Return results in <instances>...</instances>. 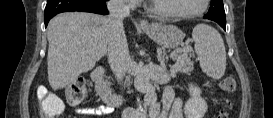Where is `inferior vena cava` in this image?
Returning a JSON list of instances; mask_svg holds the SVG:
<instances>
[{
  "label": "inferior vena cava",
  "instance_id": "inferior-vena-cava-1",
  "mask_svg": "<svg viewBox=\"0 0 273 118\" xmlns=\"http://www.w3.org/2000/svg\"><path fill=\"white\" fill-rule=\"evenodd\" d=\"M108 22L110 35L108 40V62L118 83L123 82L127 66L130 63L127 39L123 28V19L129 15V8L123 0H109Z\"/></svg>",
  "mask_w": 273,
  "mask_h": 118
}]
</instances>
